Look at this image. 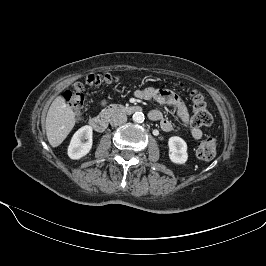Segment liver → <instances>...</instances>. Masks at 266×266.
I'll return each instance as SVG.
<instances>
[{
	"label": "liver",
	"mask_w": 266,
	"mask_h": 266,
	"mask_svg": "<svg viewBox=\"0 0 266 266\" xmlns=\"http://www.w3.org/2000/svg\"><path fill=\"white\" fill-rule=\"evenodd\" d=\"M76 113L63 96H58L50 105L46 117V135L52 147L59 146L73 129Z\"/></svg>",
	"instance_id": "obj_1"
}]
</instances>
